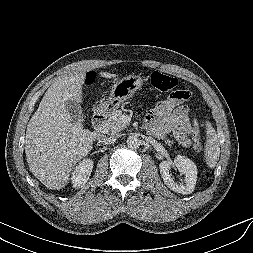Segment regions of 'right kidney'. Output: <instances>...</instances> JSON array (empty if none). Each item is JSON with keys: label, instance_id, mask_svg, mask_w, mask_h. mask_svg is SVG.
Segmentation results:
<instances>
[{"label": "right kidney", "instance_id": "ca27d5eb", "mask_svg": "<svg viewBox=\"0 0 253 253\" xmlns=\"http://www.w3.org/2000/svg\"><path fill=\"white\" fill-rule=\"evenodd\" d=\"M93 169V161L91 159L82 160L72 173L71 182L74 188L83 187L88 181Z\"/></svg>", "mask_w": 253, "mask_h": 253}]
</instances>
